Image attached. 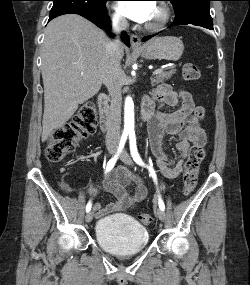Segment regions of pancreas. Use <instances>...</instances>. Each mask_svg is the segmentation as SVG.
<instances>
[{
    "label": "pancreas",
    "instance_id": "obj_1",
    "mask_svg": "<svg viewBox=\"0 0 250 285\" xmlns=\"http://www.w3.org/2000/svg\"><path fill=\"white\" fill-rule=\"evenodd\" d=\"M173 74H175V70L162 71L161 73L154 75L151 78V84L154 86V85H157L159 83H163V82L167 81L168 79H170Z\"/></svg>",
    "mask_w": 250,
    "mask_h": 285
}]
</instances>
